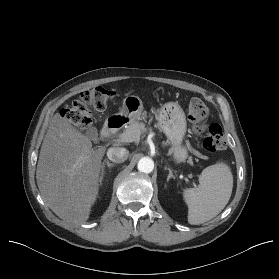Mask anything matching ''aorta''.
I'll use <instances>...</instances> for the list:
<instances>
[{
  "label": "aorta",
  "instance_id": "aorta-1",
  "mask_svg": "<svg viewBox=\"0 0 279 279\" xmlns=\"http://www.w3.org/2000/svg\"><path fill=\"white\" fill-rule=\"evenodd\" d=\"M137 168L140 172L150 173L154 169V162L149 157H143L139 160Z\"/></svg>",
  "mask_w": 279,
  "mask_h": 279
}]
</instances>
